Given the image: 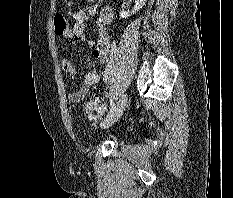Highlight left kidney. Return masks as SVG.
<instances>
[{
  "instance_id": "obj_1",
  "label": "left kidney",
  "mask_w": 233,
  "mask_h": 198,
  "mask_svg": "<svg viewBox=\"0 0 233 198\" xmlns=\"http://www.w3.org/2000/svg\"><path fill=\"white\" fill-rule=\"evenodd\" d=\"M146 1L147 0H135V5H134L132 11L121 10L120 11V18H128L132 14H135L145 5Z\"/></svg>"
}]
</instances>
